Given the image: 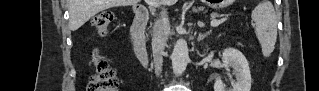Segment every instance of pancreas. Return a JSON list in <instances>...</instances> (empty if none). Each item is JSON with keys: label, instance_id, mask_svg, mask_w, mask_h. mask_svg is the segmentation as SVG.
<instances>
[{"label": "pancreas", "instance_id": "cf45deb5", "mask_svg": "<svg viewBox=\"0 0 319 91\" xmlns=\"http://www.w3.org/2000/svg\"><path fill=\"white\" fill-rule=\"evenodd\" d=\"M218 16H219V15H218L217 13H212V14H211V17H212V18H216V17H218Z\"/></svg>", "mask_w": 319, "mask_h": 91}]
</instances>
